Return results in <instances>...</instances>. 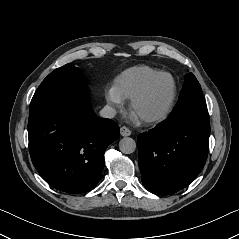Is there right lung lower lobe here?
Masks as SVG:
<instances>
[{
  "instance_id": "right-lung-lower-lobe-1",
  "label": "right lung lower lobe",
  "mask_w": 239,
  "mask_h": 239,
  "mask_svg": "<svg viewBox=\"0 0 239 239\" xmlns=\"http://www.w3.org/2000/svg\"><path fill=\"white\" fill-rule=\"evenodd\" d=\"M28 137L43 179L60 191L80 194L98 183L105 150L119 138V127L96 116L84 85H72L30 105Z\"/></svg>"
}]
</instances>
